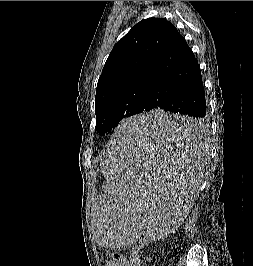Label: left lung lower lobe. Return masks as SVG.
<instances>
[{"label":"left lung lower lobe","instance_id":"obj_1","mask_svg":"<svg viewBox=\"0 0 253 266\" xmlns=\"http://www.w3.org/2000/svg\"><path fill=\"white\" fill-rule=\"evenodd\" d=\"M162 109L193 117L148 128V133L172 138L198 137L207 116L205 92L198 62L176 30L160 56L146 93L143 112Z\"/></svg>","mask_w":253,"mask_h":266}]
</instances>
